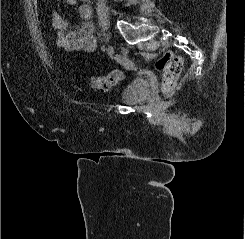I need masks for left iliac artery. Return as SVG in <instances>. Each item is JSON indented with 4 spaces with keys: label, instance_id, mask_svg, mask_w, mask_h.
<instances>
[{
    "label": "left iliac artery",
    "instance_id": "44dca946",
    "mask_svg": "<svg viewBox=\"0 0 245 239\" xmlns=\"http://www.w3.org/2000/svg\"><path fill=\"white\" fill-rule=\"evenodd\" d=\"M105 46L104 45H102V47H101V50L104 52L105 51Z\"/></svg>",
    "mask_w": 245,
    "mask_h": 239
}]
</instances>
